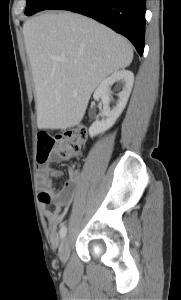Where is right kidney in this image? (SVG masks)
<instances>
[{
    "label": "right kidney",
    "instance_id": "obj_1",
    "mask_svg": "<svg viewBox=\"0 0 181 300\" xmlns=\"http://www.w3.org/2000/svg\"><path fill=\"white\" fill-rule=\"evenodd\" d=\"M118 82L122 87V91L118 94V102L115 107L110 109V94L111 86ZM134 83V75L131 71L120 70L113 73L111 76L101 82L95 90L93 98L98 100L103 98V110L101 112V120H96L89 128L90 137H95L98 134L104 133L110 129L123 112L128 98L130 96Z\"/></svg>",
    "mask_w": 181,
    "mask_h": 300
}]
</instances>
